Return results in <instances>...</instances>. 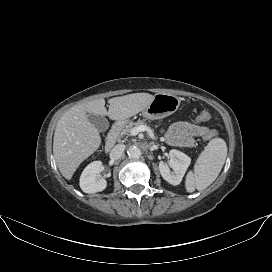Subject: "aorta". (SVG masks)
<instances>
[{"instance_id":"762f6f07","label":"aorta","mask_w":272,"mask_h":272,"mask_svg":"<svg viewBox=\"0 0 272 272\" xmlns=\"http://www.w3.org/2000/svg\"><path fill=\"white\" fill-rule=\"evenodd\" d=\"M127 153L131 158H139L141 156V150L136 146L129 147Z\"/></svg>"}]
</instances>
